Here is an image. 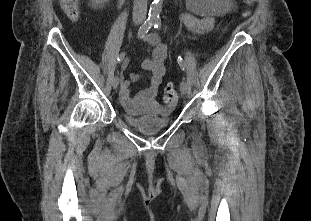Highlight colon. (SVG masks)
<instances>
[{"label": "colon", "mask_w": 311, "mask_h": 221, "mask_svg": "<svg viewBox=\"0 0 311 221\" xmlns=\"http://www.w3.org/2000/svg\"><path fill=\"white\" fill-rule=\"evenodd\" d=\"M59 5L66 16L71 21H77L80 16V0H59ZM248 13H244L243 17H247ZM178 97L177 89L174 85L169 84L164 87L163 101L167 105L176 103Z\"/></svg>", "instance_id": "5ec220e1"}]
</instances>
